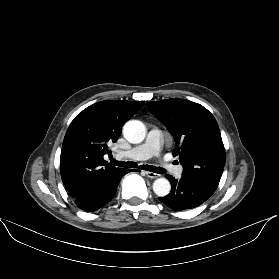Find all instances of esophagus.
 I'll return each instance as SVG.
<instances>
[{
	"instance_id": "esophagus-1",
	"label": "esophagus",
	"mask_w": 279,
	"mask_h": 279,
	"mask_svg": "<svg viewBox=\"0 0 279 279\" xmlns=\"http://www.w3.org/2000/svg\"><path fill=\"white\" fill-rule=\"evenodd\" d=\"M145 174H146L149 178H152V179H155V178L160 177V174L153 173V172H149V171H146Z\"/></svg>"
}]
</instances>
